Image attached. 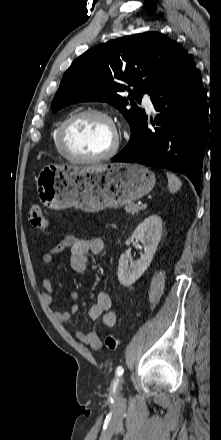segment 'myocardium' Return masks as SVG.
Returning <instances> with one entry per match:
<instances>
[{
	"mask_svg": "<svg viewBox=\"0 0 221 440\" xmlns=\"http://www.w3.org/2000/svg\"><path fill=\"white\" fill-rule=\"evenodd\" d=\"M87 116H96V117H101V118L105 119L112 126L113 131H114L115 138H114L113 145L111 146V148L108 151H106L105 153L98 155V156L86 157V156L75 155L74 153H72L69 150V148L66 144L67 133H68V130L71 127V125L75 121H77L78 119L83 118V117H87ZM119 144H120V135H119L118 129L115 125L113 118L106 111H103L100 109H84V110L78 111V112L72 114L71 116H69L68 118H66L58 130V147H59L62 155L73 162L93 163V162L105 161L107 159H110L111 157H113L117 153L118 148H119Z\"/></svg>",
	"mask_w": 221,
	"mask_h": 440,
	"instance_id": "obj_1",
	"label": "myocardium"
}]
</instances>
